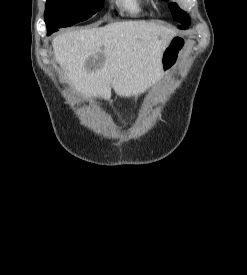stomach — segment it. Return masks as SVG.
<instances>
[{"label": "stomach", "instance_id": "stomach-1", "mask_svg": "<svg viewBox=\"0 0 247 275\" xmlns=\"http://www.w3.org/2000/svg\"><path fill=\"white\" fill-rule=\"evenodd\" d=\"M186 40L178 35L171 37L166 48L163 51L161 66L162 72L166 76L173 74L181 56L186 51Z\"/></svg>", "mask_w": 247, "mask_h": 275}]
</instances>
